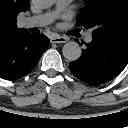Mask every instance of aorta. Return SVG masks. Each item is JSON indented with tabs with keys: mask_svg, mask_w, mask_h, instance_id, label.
<instances>
[{
	"mask_svg": "<svg viewBox=\"0 0 128 128\" xmlns=\"http://www.w3.org/2000/svg\"><path fill=\"white\" fill-rule=\"evenodd\" d=\"M56 1L55 0H33L35 6L45 9L51 7ZM63 56L69 61H76L82 54L81 47L75 41H70L63 46Z\"/></svg>",
	"mask_w": 128,
	"mask_h": 128,
	"instance_id": "762f6f07",
	"label": "aorta"
}]
</instances>
